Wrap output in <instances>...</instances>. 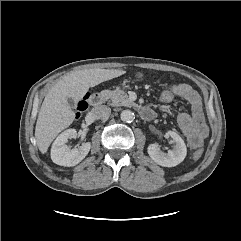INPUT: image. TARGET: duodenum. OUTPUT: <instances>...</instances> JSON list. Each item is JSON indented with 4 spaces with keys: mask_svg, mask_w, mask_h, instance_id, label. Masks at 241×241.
<instances>
[{
    "mask_svg": "<svg viewBox=\"0 0 241 241\" xmlns=\"http://www.w3.org/2000/svg\"><path fill=\"white\" fill-rule=\"evenodd\" d=\"M104 102V96L101 93H95L90 98V104L97 108L100 107ZM141 116L146 120H151L154 118L155 113L150 108H144L141 110Z\"/></svg>",
    "mask_w": 241,
    "mask_h": 241,
    "instance_id": "obj_1",
    "label": "duodenum"
}]
</instances>
